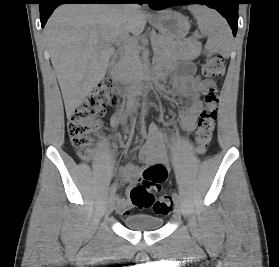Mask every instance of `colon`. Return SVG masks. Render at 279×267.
Returning a JSON list of instances; mask_svg holds the SVG:
<instances>
[{"label":"colon","mask_w":279,"mask_h":267,"mask_svg":"<svg viewBox=\"0 0 279 267\" xmlns=\"http://www.w3.org/2000/svg\"><path fill=\"white\" fill-rule=\"evenodd\" d=\"M225 64L218 55H210L202 64V74L211 79L212 86L205 95V106L200 113L195 131V150L205 153L212 141L218 112V91L215 80L224 75ZM118 95L115 84L108 79L98 87L71 113L68 118V134L77 155L84 161L92 159L90 144L99 126V119L105 107L115 105ZM165 171L158 166H148L143 170L141 184L132 188L130 200L135 207L152 208L155 213L165 215L173 208L170 194L154 198L153 190L165 179Z\"/></svg>","instance_id":"obj_1"}]
</instances>
